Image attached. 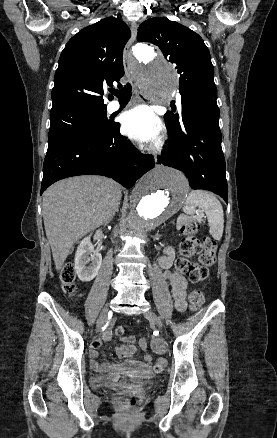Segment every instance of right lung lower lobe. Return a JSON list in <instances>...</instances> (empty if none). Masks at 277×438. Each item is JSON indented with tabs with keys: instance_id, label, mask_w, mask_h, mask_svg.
Masks as SVG:
<instances>
[{
	"instance_id": "1",
	"label": "right lung lower lobe",
	"mask_w": 277,
	"mask_h": 438,
	"mask_svg": "<svg viewBox=\"0 0 277 438\" xmlns=\"http://www.w3.org/2000/svg\"><path fill=\"white\" fill-rule=\"evenodd\" d=\"M119 128V123L111 122L102 132L79 134L48 146L41 194L60 179L86 174L104 175L131 188L154 162L120 135Z\"/></svg>"
}]
</instances>
